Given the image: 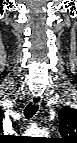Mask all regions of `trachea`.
I'll list each match as a JSON object with an SVG mask.
<instances>
[{"label":"trachea","instance_id":"3493384b","mask_svg":"<svg viewBox=\"0 0 77 143\" xmlns=\"http://www.w3.org/2000/svg\"><path fill=\"white\" fill-rule=\"evenodd\" d=\"M38 111V105H33L32 103H29L25 109H24V115L26 119H31L36 112Z\"/></svg>","mask_w":77,"mask_h":143}]
</instances>
